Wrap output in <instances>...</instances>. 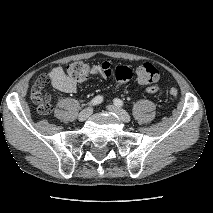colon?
Listing matches in <instances>:
<instances>
[{
  "label": "colon",
  "instance_id": "obj_1",
  "mask_svg": "<svg viewBox=\"0 0 213 213\" xmlns=\"http://www.w3.org/2000/svg\"><path fill=\"white\" fill-rule=\"evenodd\" d=\"M66 73L75 81L82 82L97 72L94 66L83 61H76L66 67ZM107 76L113 77L119 85H122L132 78L133 71L128 66L120 65L107 72ZM135 77L140 85L150 87L161 79V72L152 64L144 63L135 69ZM47 82L46 76L40 77L31 91V98L41 114L49 113L52 108L51 96L46 90ZM168 92L173 98L178 96V90L175 87L169 88Z\"/></svg>",
  "mask_w": 213,
  "mask_h": 213
}]
</instances>
